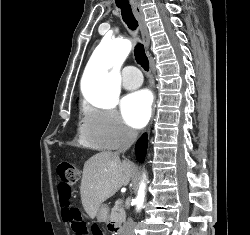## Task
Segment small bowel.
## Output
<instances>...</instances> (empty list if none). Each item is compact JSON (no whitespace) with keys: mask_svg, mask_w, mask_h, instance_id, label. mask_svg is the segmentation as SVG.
I'll return each instance as SVG.
<instances>
[{"mask_svg":"<svg viewBox=\"0 0 250 235\" xmlns=\"http://www.w3.org/2000/svg\"><path fill=\"white\" fill-rule=\"evenodd\" d=\"M92 233H93L92 235H101L100 233H97L95 231H93Z\"/></svg>","mask_w":250,"mask_h":235,"instance_id":"small-bowel-1","label":"small bowel"}]
</instances>
